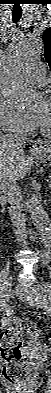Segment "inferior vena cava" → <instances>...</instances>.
Masks as SVG:
<instances>
[{
    "label": "inferior vena cava",
    "mask_w": 51,
    "mask_h": 393,
    "mask_svg": "<svg viewBox=\"0 0 51 393\" xmlns=\"http://www.w3.org/2000/svg\"><path fill=\"white\" fill-rule=\"evenodd\" d=\"M7 142L17 151L23 152V142L12 133L6 135ZM0 197L9 203V214L16 237L23 241L26 232V218L22 212V196L15 179L1 177Z\"/></svg>",
    "instance_id": "602c4592"
}]
</instances>
